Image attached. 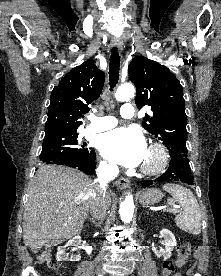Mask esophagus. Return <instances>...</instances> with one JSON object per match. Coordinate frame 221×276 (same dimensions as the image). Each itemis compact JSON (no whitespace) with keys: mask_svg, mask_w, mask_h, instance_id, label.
<instances>
[{"mask_svg":"<svg viewBox=\"0 0 221 276\" xmlns=\"http://www.w3.org/2000/svg\"><path fill=\"white\" fill-rule=\"evenodd\" d=\"M112 46L117 48L118 50L121 49V44L118 42H113ZM116 183H117V186L119 189H126V188H129V186H130L129 179H127L125 177L119 178Z\"/></svg>","mask_w":221,"mask_h":276,"instance_id":"1","label":"esophagus"}]
</instances>
